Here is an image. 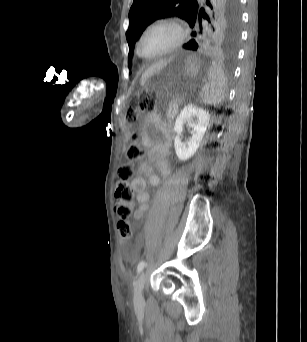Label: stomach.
Returning a JSON list of instances; mask_svg holds the SVG:
<instances>
[{"mask_svg":"<svg viewBox=\"0 0 307 342\" xmlns=\"http://www.w3.org/2000/svg\"><path fill=\"white\" fill-rule=\"evenodd\" d=\"M187 65V61H185ZM181 61L171 60L160 71H157L152 76H150L144 83V88L147 92L162 93L164 89L168 86L169 81L173 75V72L181 67ZM187 68V66L185 67ZM173 98H178L179 93H173Z\"/></svg>","mask_w":307,"mask_h":342,"instance_id":"1","label":"stomach"}]
</instances>
